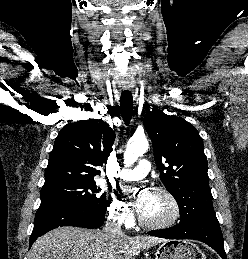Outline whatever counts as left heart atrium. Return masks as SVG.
I'll return each instance as SVG.
<instances>
[{"label":"left heart atrium","mask_w":248,"mask_h":259,"mask_svg":"<svg viewBox=\"0 0 248 259\" xmlns=\"http://www.w3.org/2000/svg\"><path fill=\"white\" fill-rule=\"evenodd\" d=\"M150 198V192L149 191H144L142 192L135 200V207L137 211L141 214L148 203V200Z\"/></svg>","instance_id":"left-heart-atrium-1"}]
</instances>
